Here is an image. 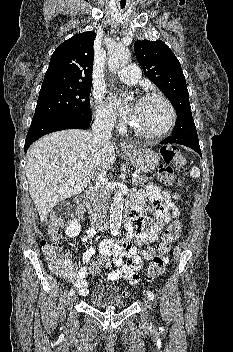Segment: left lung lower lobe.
I'll list each match as a JSON object with an SVG mask.
<instances>
[{
  "mask_svg": "<svg viewBox=\"0 0 233 352\" xmlns=\"http://www.w3.org/2000/svg\"><path fill=\"white\" fill-rule=\"evenodd\" d=\"M161 143L162 144H164V143H176V144L184 145V146H187V147L193 149L194 151L198 152V154H200V156H202L201 155V149H200V146H199L198 137H190V138H185V139H175L172 136H169L168 138L163 140Z\"/></svg>",
  "mask_w": 233,
  "mask_h": 352,
  "instance_id": "0a47b994",
  "label": "left lung lower lobe"
}]
</instances>
